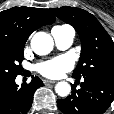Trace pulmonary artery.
Wrapping results in <instances>:
<instances>
[{
	"label": "pulmonary artery",
	"mask_w": 114,
	"mask_h": 114,
	"mask_svg": "<svg viewBox=\"0 0 114 114\" xmlns=\"http://www.w3.org/2000/svg\"><path fill=\"white\" fill-rule=\"evenodd\" d=\"M52 37L59 49H67L73 43L75 31L69 25L55 26L51 30Z\"/></svg>",
	"instance_id": "1"
}]
</instances>
